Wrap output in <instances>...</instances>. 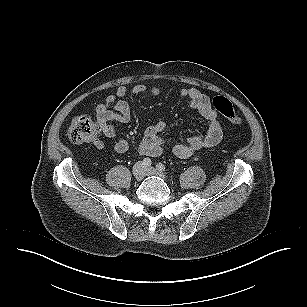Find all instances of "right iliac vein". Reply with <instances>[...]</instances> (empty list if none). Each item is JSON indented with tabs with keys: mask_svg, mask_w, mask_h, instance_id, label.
I'll use <instances>...</instances> for the list:
<instances>
[{
	"mask_svg": "<svg viewBox=\"0 0 307 307\" xmlns=\"http://www.w3.org/2000/svg\"><path fill=\"white\" fill-rule=\"evenodd\" d=\"M133 175L137 181H141L145 176V166L142 162H137L133 167Z\"/></svg>",
	"mask_w": 307,
	"mask_h": 307,
	"instance_id": "63e3f726",
	"label": "right iliac vein"
}]
</instances>
